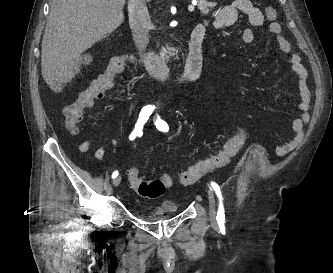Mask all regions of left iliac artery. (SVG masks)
Wrapping results in <instances>:
<instances>
[{
    "instance_id": "left-iliac-artery-1",
    "label": "left iliac artery",
    "mask_w": 333,
    "mask_h": 273,
    "mask_svg": "<svg viewBox=\"0 0 333 273\" xmlns=\"http://www.w3.org/2000/svg\"><path fill=\"white\" fill-rule=\"evenodd\" d=\"M154 124L156 125V128L159 131L167 132L169 130L168 124L164 120H162L159 115H157V117L155 118ZM211 186H212L213 190L215 191V193L218 197V200H219V207H218V212H217V222L219 225H221V224H224V222H225L223 197L221 194L220 187L218 186L217 183L211 182Z\"/></svg>"
}]
</instances>
